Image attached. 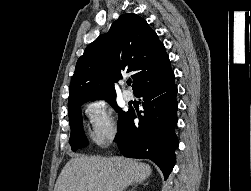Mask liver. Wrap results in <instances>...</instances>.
Wrapping results in <instances>:
<instances>
[{
	"label": "liver",
	"mask_w": 251,
	"mask_h": 191,
	"mask_svg": "<svg viewBox=\"0 0 251 191\" xmlns=\"http://www.w3.org/2000/svg\"><path fill=\"white\" fill-rule=\"evenodd\" d=\"M151 171L148 163L123 155L87 157L76 153L64 165L54 191H96L95 185L103 191H123L127 185L146 179Z\"/></svg>",
	"instance_id": "obj_1"
}]
</instances>
